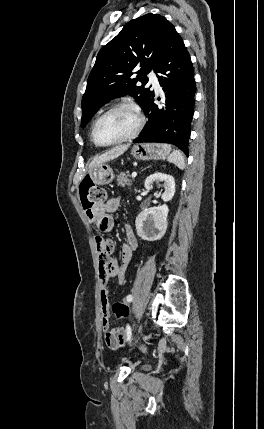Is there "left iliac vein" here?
<instances>
[{"label": "left iliac vein", "instance_id": "left-iliac-vein-1", "mask_svg": "<svg viewBox=\"0 0 264 429\" xmlns=\"http://www.w3.org/2000/svg\"><path fill=\"white\" fill-rule=\"evenodd\" d=\"M139 324L140 325L139 327L136 328V331L140 335L142 333L141 330H144V325H143L144 323L141 321Z\"/></svg>", "mask_w": 264, "mask_h": 429}]
</instances>
